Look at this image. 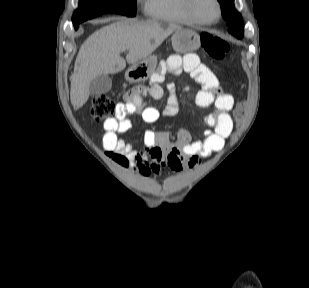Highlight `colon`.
Here are the masks:
<instances>
[{"instance_id": "obj_1", "label": "colon", "mask_w": 309, "mask_h": 288, "mask_svg": "<svg viewBox=\"0 0 309 288\" xmlns=\"http://www.w3.org/2000/svg\"><path fill=\"white\" fill-rule=\"evenodd\" d=\"M203 49L212 58L221 60L229 51L228 43L208 32H204L200 37ZM245 101H240L235 106L233 117L236 123L242 121V112L245 108ZM118 112V104H116L107 94L98 93L93 96L91 106V116L95 120L108 119Z\"/></svg>"}]
</instances>
